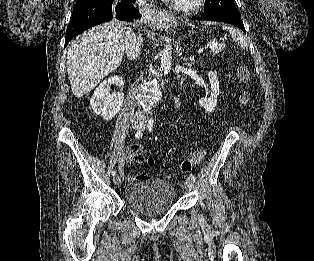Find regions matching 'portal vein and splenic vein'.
Here are the masks:
<instances>
[{
  "instance_id": "18ae733b",
  "label": "portal vein and splenic vein",
  "mask_w": 314,
  "mask_h": 261,
  "mask_svg": "<svg viewBox=\"0 0 314 261\" xmlns=\"http://www.w3.org/2000/svg\"><path fill=\"white\" fill-rule=\"evenodd\" d=\"M217 42H211L210 44H209V47H210V49H215L216 47H217ZM203 52V49H200L199 51H198V53L200 54V53H202Z\"/></svg>"
}]
</instances>
